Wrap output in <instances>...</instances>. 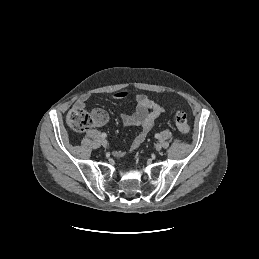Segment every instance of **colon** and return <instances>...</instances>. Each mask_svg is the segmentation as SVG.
I'll list each match as a JSON object with an SVG mask.
<instances>
[{
    "label": "colon",
    "mask_w": 259,
    "mask_h": 259,
    "mask_svg": "<svg viewBox=\"0 0 259 259\" xmlns=\"http://www.w3.org/2000/svg\"><path fill=\"white\" fill-rule=\"evenodd\" d=\"M174 116L178 131L182 135L189 134L190 126L188 124L186 115L181 111H176ZM66 120L68 125L77 133L86 131L92 126L94 122V118L90 115V113L84 109V107L80 106H74L68 112Z\"/></svg>",
    "instance_id": "5ec220e1"
}]
</instances>
